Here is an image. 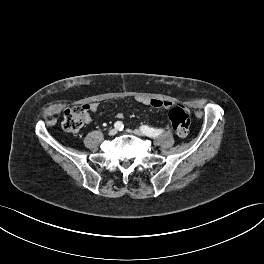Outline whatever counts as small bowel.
Segmentation results:
<instances>
[{"instance_id": "c3829d8e", "label": "small bowel", "mask_w": 264, "mask_h": 264, "mask_svg": "<svg viewBox=\"0 0 264 264\" xmlns=\"http://www.w3.org/2000/svg\"><path fill=\"white\" fill-rule=\"evenodd\" d=\"M137 101L141 104L144 105H150L156 108H165V109H169L173 106V103L170 101H166V100H159V99H151V98H146V97H139L137 98ZM89 108V111H96L98 109V104L97 103H91L87 105ZM123 117L122 114H117V118L121 119ZM86 122L89 123L90 122V117L87 116L86 117Z\"/></svg>"}]
</instances>
